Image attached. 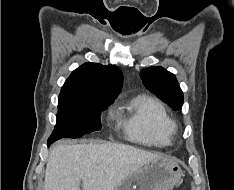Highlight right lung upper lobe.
<instances>
[{"label": "right lung upper lobe", "mask_w": 234, "mask_h": 190, "mask_svg": "<svg viewBox=\"0 0 234 190\" xmlns=\"http://www.w3.org/2000/svg\"><path fill=\"white\" fill-rule=\"evenodd\" d=\"M122 82L118 67L85 63L72 72L59 96L112 103L120 92Z\"/></svg>", "instance_id": "obj_1"}]
</instances>
